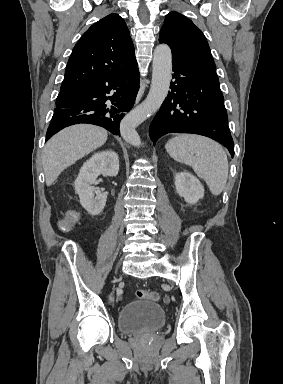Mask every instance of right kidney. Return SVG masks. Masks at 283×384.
<instances>
[{"mask_svg":"<svg viewBox=\"0 0 283 384\" xmlns=\"http://www.w3.org/2000/svg\"><path fill=\"white\" fill-rule=\"evenodd\" d=\"M119 172V160L117 154L112 150L94 154L88 162L83 164L74 184L75 192L80 198V204L91 216H98L105 208L107 196L102 194L97 178L100 174L104 176H117Z\"/></svg>","mask_w":283,"mask_h":384,"instance_id":"right-kidney-1","label":"right kidney"}]
</instances>
